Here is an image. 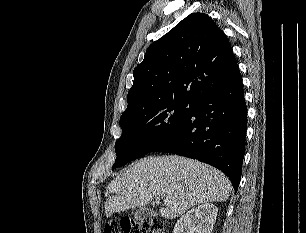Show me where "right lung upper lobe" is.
<instances>
[{"mask_svg": "<svg viewBox=\"0 0 306 233\" xmlns=\"http://www.w3.org/2000/svg\"><path fill=\"white\" fill-rule=\"evenodd\" d=\"M133 75L123 114L164 99L198 104L240 70L224 32L206 14L192 13L148 47Z\"/></svg>", "mask_w": 306, "mask_h": 233, "instance_id": "right-lung-upper-lobe-1", "label": "right lung upper lobe"}]
</instances>
